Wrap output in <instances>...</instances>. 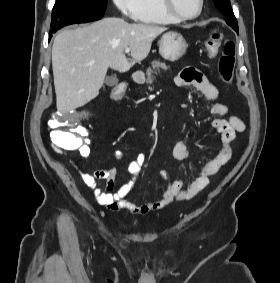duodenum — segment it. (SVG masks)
I'll use <instances>...</instances> for the list:
<instances>
[{
    "label": "duodenum",
    "instance_id": "1",
    "mask_svg": "<svg viewBox=\"0 0 280 283\" xmlns=\"http://www.w3.org/2000/svg\"><path fill=\"white\" fill-rule=\"evenodd\" d=\"M132 80H133L134 84L141 85V84L144 83V76L140 73H134L132 75Z\"/></svg>",
    "mask_w": 280,
    "mask_h": 283
}]
</instances>
